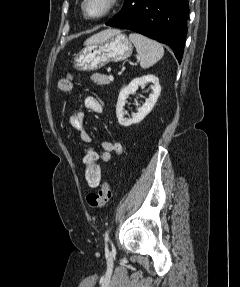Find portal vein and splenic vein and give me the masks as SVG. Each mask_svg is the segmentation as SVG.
Here are the masks:
<instances>
[{
	"mask_svg": "<svg viewBox=\"0 0 240 287\" xmlns=\"http://www.w3.org/2000/svg\"><path fill=\"white\" fill-rule=\"evenodd\" d=\"M138 60H139V58H138ZM109 79H110V80H113V76H112V75H110V76H109Z\"/></svg>",
	"mask_w": 240,
	"mask_h": 287,
	"instance_id": "obj_1",
	"label": "portal vein and splenic vein"
}]
</instances>
